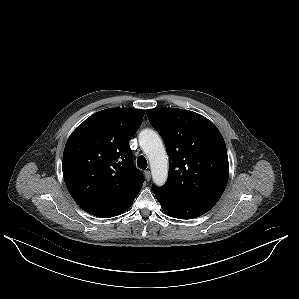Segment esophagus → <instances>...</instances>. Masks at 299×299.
<instances>
[{"instance_id":"obj_1","label":"esophagus","mask_w":299,"mask_h":299,"mask_svg":"<svg viewBox=\"0 0 299 299\" xmlns=\"http://www.w3.org/2000/svg\"><path fill=\"white\" fill-rule=\"evenodd\" d=\"M144 176L147 181L151 179V172L149 170L144 171Z\"/></svg>"}]
</instances>
